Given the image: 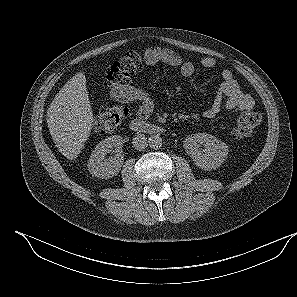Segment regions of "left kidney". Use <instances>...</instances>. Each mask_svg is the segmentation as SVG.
<instances>
[{"label": "left kidney", "instance_id": "1", "mask_svg": "<svg viewBox=\"0 0 297 297\" xmlns=\"http://www.w3.org/2000/svg\"><path fill=\"white\" fill-rule=\"evenodd\" d=\"M183 146L195 165L207 171L220 167L229 152L226 143L207 133L188 136Z\"/></svg>", "mask_w": 297, "mask_h": 297}]
</instances>
